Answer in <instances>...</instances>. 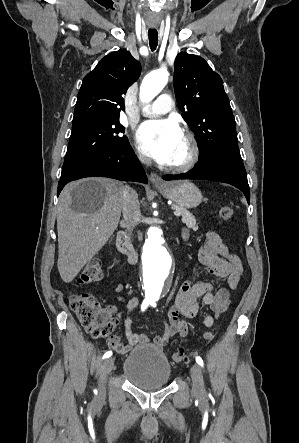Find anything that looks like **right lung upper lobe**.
I'll return each mask as SVG.
<instances>
[{"mask_svg": "<svg viewBox=\"0 0 299 443\" xmlns=\"http://www.w3.org/2000/svg\"><path fill=\"white\" fill-rule=\"evenodd\" d=\"M141 65L130 52L120 49L102 58L88 73L78 93L73 123L90 118L119 117L123 94L138 79Z\"/></svg>", "mask_w": 299, "mask_h": 443, "instance_id": "cb5924a9", "label": "right lung upper lobe"}]
</instances>
